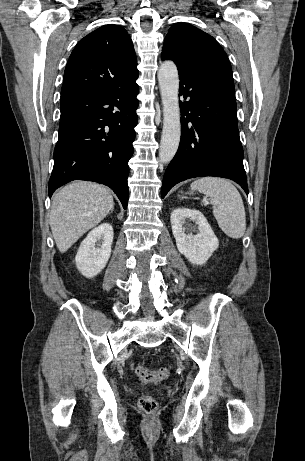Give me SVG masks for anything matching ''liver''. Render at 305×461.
<instances>
[{
  "mask_svg": "<svg viewBox=\"0 0 305 461\" xmlns=\"http://www.w3.org/2000/svg\"><path fill=\"white\" fill-rule=\"evenodd\" d=\"M113 207L112 195L99 184L77 181L63 187L53 198L49 221L58 250L65 253Z\"/></svg>",
  "mask_w": 305,
  "mask_h": 461,
  "instance_id": "obj_1",
  "label": "liver"
}]
</instances>
